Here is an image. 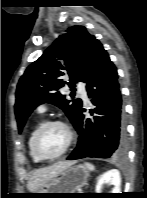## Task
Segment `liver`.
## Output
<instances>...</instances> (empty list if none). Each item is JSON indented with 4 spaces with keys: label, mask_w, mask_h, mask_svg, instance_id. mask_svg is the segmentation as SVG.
<instances>
[{
    "label": "liver",
    "mask_w": 147,
    "mask_h": 198,
    "mask_svg": "<svg viewBox=\"0 0 147 198\" xmlns=\"http://www.w3.org/2000/svg\"><path fill=\"white\" fill-rule=\"evenodd\" d=\"M74 163V161H59L49 167L41 168L34 171L27 184L28 190L30 192L38 190L47 181L55 177L64 169L72 166Z\"/></svg>",
    "instance_id": "obj_1"
}]
</instances>
